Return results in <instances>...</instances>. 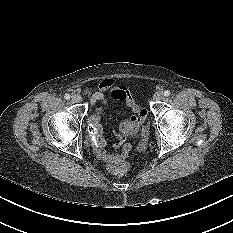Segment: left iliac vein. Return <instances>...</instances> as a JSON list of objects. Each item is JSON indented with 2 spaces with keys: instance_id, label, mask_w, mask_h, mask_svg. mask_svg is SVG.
<instances>
[{
  "instance_id": "obj_1",
  "label": "left iliac vein",
  "mask_w": 233,
  "mask_h": 233,
  "mask_svg": "<svg viewBox=\"0 0 233 233\" xmlns=\"http://www.w3.org/2000/svg\"><path fill=\"white\" fill-rule=\"evenodd\" d=\"M163 93L162 92H156L155 94H154V96H153V99L155 100V101H160V100H162L163 99Z\"/></svg>"
}]
</instances>
